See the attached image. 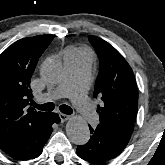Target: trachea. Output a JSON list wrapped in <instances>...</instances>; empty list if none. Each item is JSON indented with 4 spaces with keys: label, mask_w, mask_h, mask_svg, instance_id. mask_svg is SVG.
Instances as JSON below:
<instances>
[{
    "label": "trachea",
    "mask_w": 165,
    "mask_h": 165,
    "mask_svg": "<svg viewBox=\"0 0 165 165\" xmlns=\"http://www.w3.org/2000/svg\"><path fill=\"white\" fill-rule=\"evenodd\" d=\"M32 105L39 109V110H43V111H53L54 110V103L52 102H48V103H45L43 105H39V104H36V103H32ZM59 110L64 113V114H67V115H71L73 113V110L71 109V107L67 106V105H61L59 107Z\"/></svg>",
    "instance_id": "3493384b"
}]
</instances>
